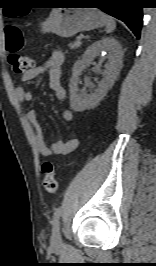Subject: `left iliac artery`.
Returning <instances> with one entry per match:
<instances>
[{
  "label": "left iliac artery",
  "mask_w": 156,
  "mask_h": 266,
  "mask_svg": "<svg viewBox=\"0 0 156 266\" xmlns=\"http://www.w3.org/2000/svg\"><path fill=\"white\" fill-rule=\"evenodd\" d=\"M60 216H61V208H58L56 209L54 216H53L54 223H57L59 221Z\"/></svg>",
  "instance_id": "44dca946"
}]
</instances>
